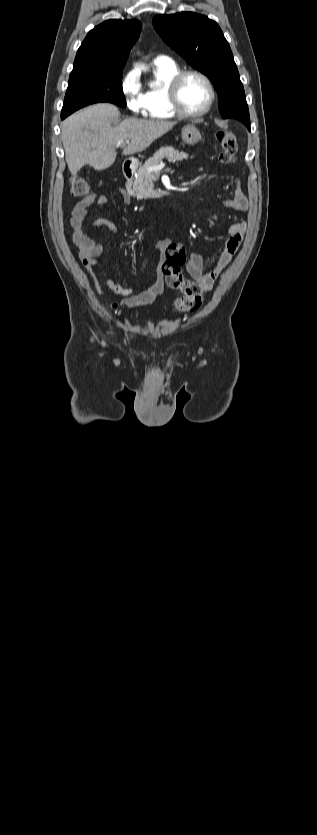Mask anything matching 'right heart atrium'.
I'll return each mask as SVG.
<instances>
[{
    "label": "right heart atrium",
    "instance_id": "1",
    "mask_svg": "<svg viewBox=\"0 0 317 835\" xmlns=\"http://www.w3.org/2000/svg\"><path fill=\"white\" fill-rule=\"evenodd\" d=\"M120 87L128 109L137 115L145 114L146 103L137 73L133 70L128 71L122 78Z\"/></svg>",
    "mask_w": 317,
    "mask_h": 835
}]
</instances>
